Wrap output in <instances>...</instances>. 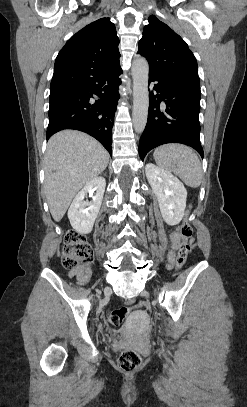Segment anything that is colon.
I'll list each match as a JSON object with an SVG mask.
<instances>
[{"instance_id":"1","label":"colon","mask_w":247,"mask_h":407,"mask_svg":"<svg viewBox=\"0 0 247 407\" xmlns=\"http://www.w3.org/2000/svg\"><path fill=\"white\" fill-rule=\"evenodd\" d=\"M182 239L178 250L175 268L179 271L185 264L188 253L191 249L190 238L193 230L186 218L179 228ZM93 260V250L83 234L69 230L65 235V243L62 252V264L67 269L88 266ZM128 307L115 309L108 312L107 318L112 325H120L127 316L131 307L146 309L149 307L148 302H136L135 298H129L126 301ZM117 366L120 370L130 373L134 372L141 366L140 356L130 350L123 351L117 359Z\"/></svg>"}]
</instances>
